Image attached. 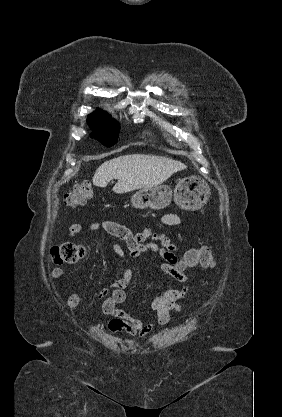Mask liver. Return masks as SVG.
Listing matches in <instances>:
<instances>
[{
  "mask_svg": "<svg viewBox=\"0 0 282 417\" xmlns=\"http://www.w3.org/2000/svg\"><path fill=\"white\" fill-rule=\"evenodd\" d=\"M187 168L184 162L155 156V154H124L106 160L98 166L93 178L96 186H107L112 178H118L112 190L122 194L137 188H151L167 180L177 170Z\"/></svg>",
  "mask_w": 282,
  "mask_h": 417,
  "instance_id": "6515ba94",
  "label": "liver"
}]
</instances>
